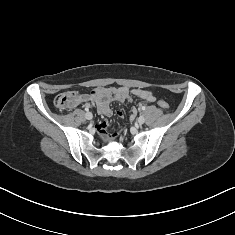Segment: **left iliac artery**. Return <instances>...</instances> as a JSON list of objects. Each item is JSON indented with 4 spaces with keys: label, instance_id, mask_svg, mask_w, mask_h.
<instances>
[{
    "label": "left iliac artery",
    "instance_id": "1",
    "mask_svg": "<svg viewBox=\"0 0 235 235\" xmlns=\"http://www.w3.org/2000/svg\"><path fill=\"white\" fill-rule=\"evenodd\" d=\"M140 109H141V110H145V106H141Z\"/></svg>",
    "mask_w": 235,
    "mask_h": 235
}]
</instances>
